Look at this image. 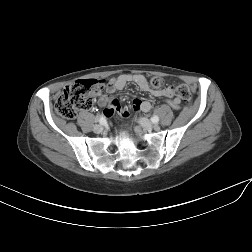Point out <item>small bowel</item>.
<instances>
[{
  "mask_svg": "<svg viewBox=\"0 0 252 252\" xmlns=\"http://www.w3.org/2000/svg\"><path fill=\"white\" fill-rule=\"evenodd\" d=\"M128 84H134L142 92L150 91L147 79L141 74L124 73L114 79H111L106 85V94H100L97 100L99 106H107L104 110V115L106 117H110L115 111H117L122 117L128 116V112L121 108L118 100L112 96L114 92L122 90ZM152 94L156 97L168 98V104L173 109L178 110L180 108L181 100L174 96V91L171 87L152 91ZM133 106L135 109L143 112H148L152 108L149 101L140 99H135L133 101Z\"/></svg>",
  "mask_w": 252,
  "mask_h": 252,
  "instance_id": "c3829d8e",
  "label": "small bowel"
}]
</instances>
